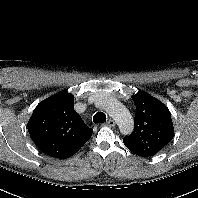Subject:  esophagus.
<instances>
[{"label": "esophagus", "instance_id": "34e87169", "mask_svg": "<svg viewBox=\"0 0 198 198\" xmlns=\"http://www.w3.org/2000/svg\"><path fill=\"white\" fill-rule=\"evenodd\" d=\"M109 127H114L115 126V121L113 119H109L106 124Z\"/></svg>", "mask_w": 198, "mask_h": 198}]
</instances>
